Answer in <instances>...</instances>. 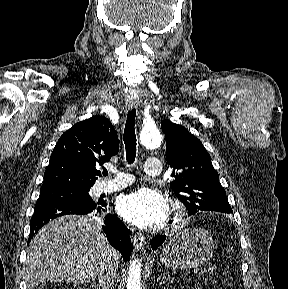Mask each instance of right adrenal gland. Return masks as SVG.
Returning a JSON list of instances; mask_svg holds the SVG:
<instances>
[{
	"instance_id": "2a0ac1e0",
	"label": "right adrenal gland",
	"mask_w": 288,
	"mask_h": 289,
	"mask_svg": "<svg viewBox=\"0 0 288 289\" xmlns=\"http://www.w3.org/2000/svg\"><path fill=\"white\" fill-rule=\"evenodd\" d=\"M92 287L95 289H100V286H98L96 283H93V282H92Z\"/></svg>"
}]
</instances>
